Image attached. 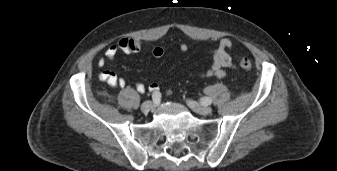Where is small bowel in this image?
Listing matches in <instances>:
<instances>
[{
	"mask_svg": "<svg viewBox=\"0 0 337 171\" xmlns=\"http://www.w3.org/2000/svg\"><path fill=\"white\" fill-rule=\"evenodd\" d=\"M233 41L229 38H223L220 40L217 47H210L209 54L211 57L210 67L199 74L200 78H222L226 75V69H234L235 64L232 60L229 51L233 48ZM141 49V43L137 39L133 38H121L116 44L110 45L104 52V55L98 60L97 65L100 68H104L108 61H112L117 56L118 52H124L127 54L137 53ZM181 52H186L188 46L185 43L179 45ZM152 54L156 58H160L164 54L162 47H154ZM99 80L106 82L113 88H125L126 81L123 78L118 77L114 72L110 70H103L98 75ZM136 90L140 93L145 91V86L142 83L136 84ZM149 90L152 92H158L159 85L156 82L149 84Z\"/></svg>",
	"mask_w": 337,
	"mask_h": 171,
	"instance_id": "obj_1",
	"label": "small bowel"
}]
</instances>
